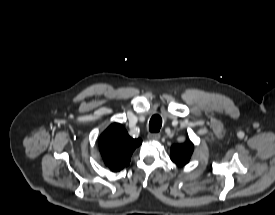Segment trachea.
Instances as JSON below:
<instances>
[{"mask_svg":"<svg viewBox=\"0 0 275 215\" xmlns=\"http://www.w3.org/2000/svg\"><path fill=\"white\" fill-rule=\"evenodd\" d=\"M162 126V118L159 115H154L149 122V130L151 132H158Z\"/></svg>","mask_w":275,"mask_h":215,"instance_id":"obj_1","label":"trachea"}]
</instances>
